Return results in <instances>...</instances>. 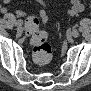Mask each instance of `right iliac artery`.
I'll return each mask as SVG.
<instances>
[{
	"instance_id": "right-iliac-artery-1",
	"label": "right iliac artery",
	"mask_w": 91,
	"mask_h": 91,
	"mask_svg": "<svg viewBox=\"0 0 91 91\" xmlns=\"http://www.w3.org/2000/svg\"><path fill=\"white\" fill-rule=\"evenodd\" d=\"M22 23H23L22 20H18V21H16V25H17V26H20Z\"/></svg>"
}]
</instances>
